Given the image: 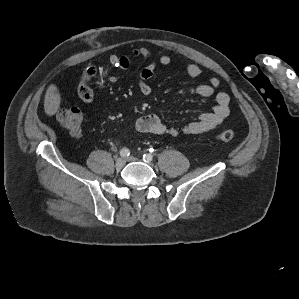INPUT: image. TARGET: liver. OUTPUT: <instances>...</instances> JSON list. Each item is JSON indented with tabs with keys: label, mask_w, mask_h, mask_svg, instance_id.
I'll return each instance as SVG.
<instances>
[{
	"label": "liver",
	"mask_w": 299,
	"mask_h": 299,
	"mask_svg": "<svg viewBox=\"0 0 299 299\" xmlns=\"http://www.w3.org/2000/svg\"><path fill=\"white\" fill-rule=\"evenodd\" d=\"M61 96L55 84H51L46 91L44 98V110L48 116H53L59 109Z\"/></svg>",
	"instance_id": "1"
}]
</instances>
